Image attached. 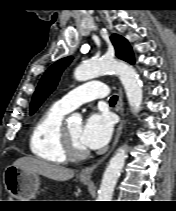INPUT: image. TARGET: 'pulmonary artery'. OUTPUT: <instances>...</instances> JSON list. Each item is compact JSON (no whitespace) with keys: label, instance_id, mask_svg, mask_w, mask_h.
Masks as SVG:
<instances>
[{"label":"pulmonary artery","instance_id":"pulmonary-artery-1","mask_svg":"<svg viewBox=\"0 0 176 211\" xmlns=\"http://www.w3.org/2000/svg\"><path fill=\"white\" fill-rule=\"evenodd\" d=\"M107 94L108 89L103 82L91 81L69 91L57 103L69 112L81 104L104 98Z\"/></svg>","mask_w":176,"mask_h":211}]
</instances>
